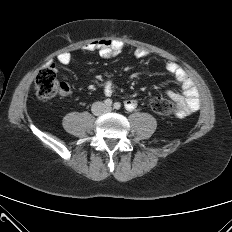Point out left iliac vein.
Instances as JSON below:
<instances>
[{
	"label": "left iliac vein",
	"mask_w": 232,
	"mask_h": 232,
	"mask_svg": "<svg viewBox=\"0 0 232 232\" xmlns=\"http://www.w3.org/2000/svg\"><path fill=\"white\" fill-rule=\"evenodd\" d=\"M107 110L110 111V110H111V107H107Z\"/></svg>",
	"instance_id": "1"
}]
</instances>
